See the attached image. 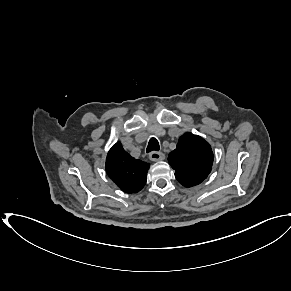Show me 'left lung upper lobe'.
Returning a JSON list of instances; mask_svg holds the SVG:
<instances>
[{
	"label": "left lung upper lobe",
	"instance_id": "left-lung-upper-lobe-1",
	"mask_svg": "<svg viewBox=\"0 0 291 291\" xmlns=\"http://www.w3.org/2000/svg\"><path fill=\"white\" fill-rule=\"evenodd\" d=\"M169 164L175 177L185 187L200 184L209 175L213 163L210 145L200 136L185 133L175 150L170 152Z\"/></svg>",
	"mask_w": 291,
	"mask_h": 291
}]
</instances>
